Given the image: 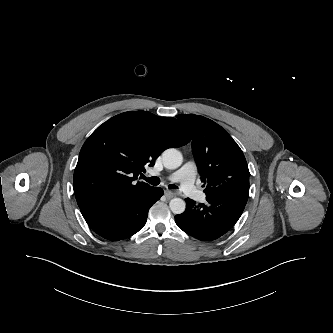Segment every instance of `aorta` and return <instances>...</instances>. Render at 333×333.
<instances>
[{"mask_svg": "<svg viewBox=\"0 0 333 333\" xmlns=\"http://www.w3.org/2000/svg\"><path fill=\"white\" fill-rule=\"evenodd\" d=\"M162 161L165 168L176 169L181 166L183 156L177 149L169 148L162 153ZM169 207L174 214H181L185 211L186 203L181 198H173L170 200Z\"/></svg>", "mask_w": 333, "mask_h": 333, "instance_id": "aorta-1", "label": "aorta"}]
</instances>
